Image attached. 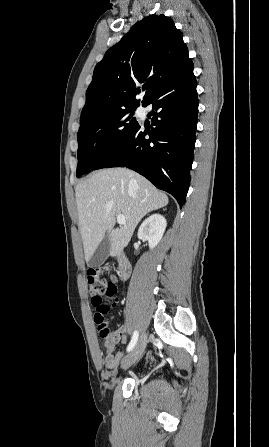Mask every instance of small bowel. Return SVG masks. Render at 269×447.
<instances>
[{
    "label": "small bowel",
    "instance_id": "c3829d8e",
    "mask_svg": "<svg viewBox=\"0 0 269 447\" xmlns=\"http://www.w3.org/2000/svg\"><path fill=\"white\" fill-rule=\"evenodd\" d=\"M126 331L127 328L125 325H118L113 331V339L120 341L123 344L128 343L129 336L127 335ZM112 346L113 344L109 342L105 344L106 355L104 358V363L108 369L115 368L118 365L120 359L123 357L122 353H117L116 355H114L111 351Z\"/></svg>",
    "mask_w": 269,
    "mask_h": 447
}]
</instances>
